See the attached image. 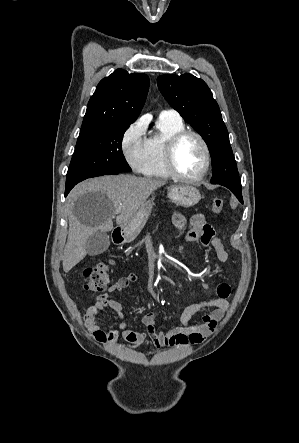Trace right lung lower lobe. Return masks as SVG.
I'll list each match as a JSON object with an SVG mask.
<instances>
[{
	"instance_id": "right-lung-lower-lobe-1",
	"label": "right lung lower lobe",
	"mask_w": 299,
	"mask_h": 443,
	"mask_svg": "<svg viewBox=\"0 0 299 443\" xmlns=\"http://www.w3.org/2000/svg\"><path fill=\"white\" fill-rule=\"evenodd\" d=\"M112 174H118V173H112ZM74 186H75V185L66 186V188H65V196H67V194L70 192V190H71Z\"/></svg>"
}]
</instances>
